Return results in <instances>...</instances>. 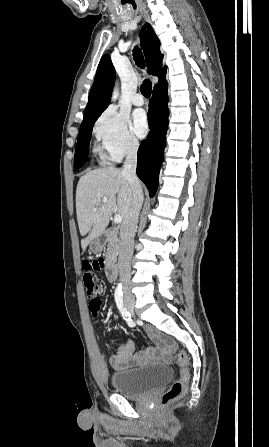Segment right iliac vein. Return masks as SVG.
<instances>
[{
  "mask_svg": "<svg viewBox=\"0 0 269 447\" xmlns=\"http://www.w3.org/2000/svg\"><path fill=\"white\" fill-rule=\"evenodd\" d=\"M124 306L133 314L134 313V306H135V301L131 300L130 302H125Z\"/></svg>",
  "mask_w": 269,
  "mask_h": 447,
  "instance_id": "right-iliac-vein-1",
  "label": "right iliac vein"
}]
</instances>
